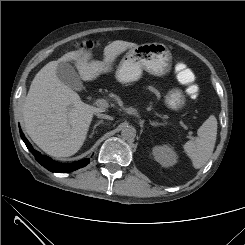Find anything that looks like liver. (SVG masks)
Returning a JSON list of instances; mask_svg holds the SVG:
<instances>
[{"instance_id": "1", "label": "liver", "mask_w": 245, "mask_h": 245, "mask_svg": "<svg viewBox=\"0 0 245 245\" xmlns=\"http://www.w3.org/2000/svg\"><path fill=\"white\" fill-rule=\"evenodd\" d=\"M135 43L116 40L104 48L103 61L88 51L76 50L47 63L34 77L23 105L27 134L48 155L68 157L83 145L94 113L102 110L81 101L79 95L57 77L61 62L74 61L80 78L97 79L112 71L115 59Z\"/></svg>"}]
</instances>
